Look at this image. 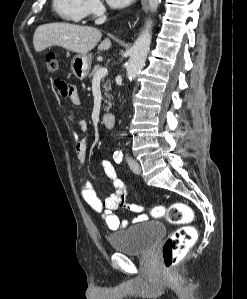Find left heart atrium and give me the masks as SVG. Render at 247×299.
<instances>
[{
    "label": "left heart atrium",
    "mask_w": 247,
    "mask_h": 299,
    "mask_svg": "<svg viewBox=\"0 0 247 299\" xmlns=\"http://www.w3.org/2000/svg\"><path fill=\"white\" fill-rule=\"evenodd\" d=\"M107 3L113 7H124L132 0H106Z\"/></svg>",
    "instance_id": "left-heart-atrium-1"
}]
</instances>
